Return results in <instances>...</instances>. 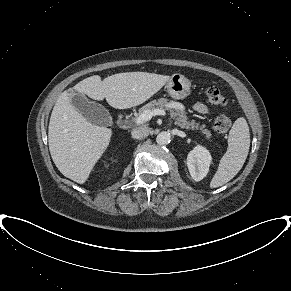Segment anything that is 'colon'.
Here are the masks:
<instances>
[{
	"label": "colon",
	"instance_id": "obj_1",
	"mask_svg": "<svg viewBox=\"0 0 291 291\" xmlns=\"http://www.w3.org/2000/svg\"><path fill=\"white\" fill-rule=\"evenodd\" d=\"M207 101L209 105L213 107H224L228 103L227 97L216 87H210L207 90ZM229 127L230 119L227 116L221 115L216 118L214 122V130L217 133H226L229 130Z\"/></svg>",
	"mask_w": 291,
	"mask_h": 291
}]
</instances>
